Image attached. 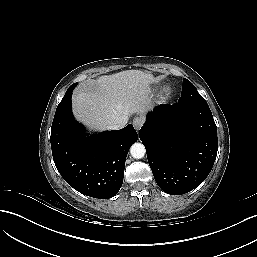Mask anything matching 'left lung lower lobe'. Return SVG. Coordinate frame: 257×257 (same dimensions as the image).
Instances as JSON below:
<instances>
[{"instance_id": "1", "label": "left lung lower lobe", "mask_w": 257, "mask_h": 257, "mask_svg": "<svg viewBox=\"0 0 257 257\" xmlns=\"http://www.w3.org/2000/svg\"><path fill=\"white\" fill-rule=\"evenodd\" d=\"M158 186L185 194L209 175L218 150L217 127L208 104L160 105L140 129Z\"/></svg>"}]
</instances>
